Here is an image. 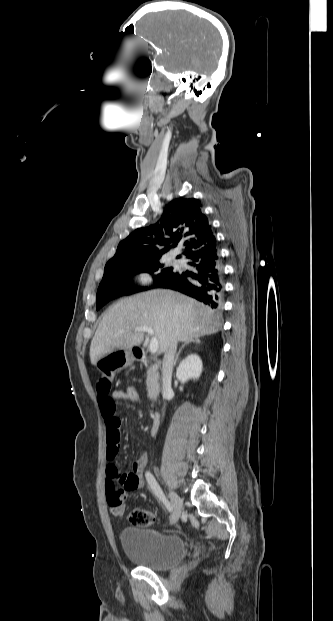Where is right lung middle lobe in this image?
<instances>
[{
    "instance_id": "dd1d6c3e",
    "label": "right lung middle lobe",
    "mask_w": 333,
    "mask_h": 621,
    "mask_svg": "<svg viewBox=\"0 0 333 621\" xmlns=\"http://www.w3.org/2000/svg\"><path fill=\"white\" fill-rule=\"evenodd\" d=\"M163 266L160 263V258L105 266L104 276L97 291L96 309H100L115 298L148 289L147 287L136 288L132 286L131 277L137 273L153 274L155 286L159 287L175 272L174 267L163 269Z\"/></svg>"
}]
</instances>
